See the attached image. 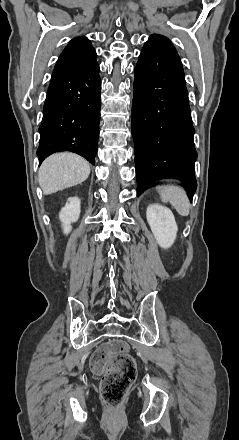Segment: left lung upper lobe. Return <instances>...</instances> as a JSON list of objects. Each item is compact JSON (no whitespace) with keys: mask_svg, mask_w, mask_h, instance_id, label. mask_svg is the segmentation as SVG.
Here are the masks:
<instances>
[{"mask_svg":"<svg viewBox=\"0 0 239 440\" xmlns=\"http://www.w3.org/2000/svg\"><path fill=\"white\" fill-rule=\"evenodd\" d=\"M148 46L177 53L175 47L168 38L157 34H153L149 37V41L145 43L144 47Z\"/></svg>","mask_w":239,"mask_h":440,"instance_id":"1","label":"left lung upper lobe"}]
</instances>
